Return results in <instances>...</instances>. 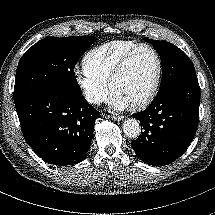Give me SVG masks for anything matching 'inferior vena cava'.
Returning <instances> with one entry per match:
<instances>
[{"instance_id":"obj_1","label":"inferior vena cava","mask_w":215,"mask_h":215,"mask_svg":"<svg viewBox=\"0 0 215 215\" xmlns=\"http://www.w3.org/2000/svg\"><path fill=\"white\" fill-rule=\"evenodd\" d=\"M85 96H86V100L90 103H99L100 102V99L96 93L87 92L85 94Z\"/></svg>"}]
</instances>
